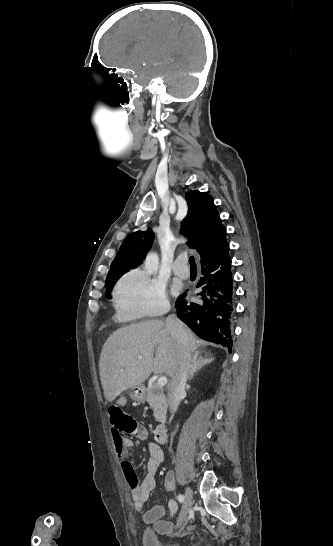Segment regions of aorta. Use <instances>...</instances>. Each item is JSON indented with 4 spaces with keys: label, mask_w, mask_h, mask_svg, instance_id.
<instances>
[{
    "label": "aorta",
    "mask_w": 333,
    "mask_h": 546,
    "mask_svg": "<svg viewBox=\"0 0 333 546\" xmlns=\"http://www.w3.org/2000/svg\"><path fill=\"white\" fill-rule=\"evenodd\" d=\"M159 267V257L157 253L150 252L148 253L145 262L144 269L148 274H154L157 272Z\"/></svg>",
    "instance_id": "obj_1"
}]
</instances>
